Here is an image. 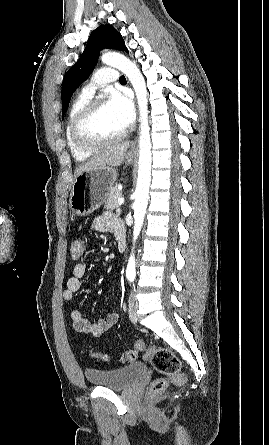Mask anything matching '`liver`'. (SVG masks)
Here are the masks:
<instances>
[{"mask_svg": "<svg viewBox=\"0 0 269 445\" xmlns=\"http://www.w3.org/2000/svg\"><path fill=\"white\" fill-rule=\"evenodd\" d=\"M129 142H123L114 146H110L91 158L88 162L81 164L76 168L75 177L82 172L90 171L97 168L117 167L124 160Z\"/></svg>", "mask_w": 269, "mask_h": 445, "instance_id": "6515ba94", "label": "liver"}]
</instances>
